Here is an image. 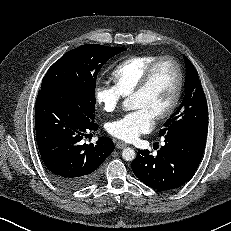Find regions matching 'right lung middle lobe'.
<instances>
[{
    "label": "right lung middle lobe",
    "instance_id": "right-lung-middle-lobe-1",
    "mask_svg": "<svg viewBox=\"0 0 231 231\" xmlns=\"http://www.w3.org/2000/svg\"><path fill=\"white\" fill-rule=\"evenodd\" d=\"M123 47L85 44L65 53L45 74L40 90L50 91L72 100L94 120L97 74Z\"/></svg>",
    "mask_w": 231,
    "mask_h": 231
}]
</instances>
